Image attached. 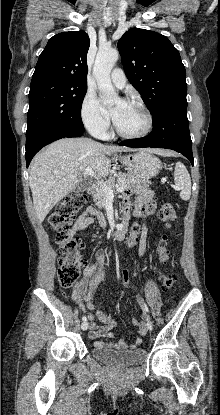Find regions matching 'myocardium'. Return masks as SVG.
<instances>
[{
  "label": "myocardium",
  "mask_w": 220,
  "mask_h": 415,
  "mask_svg": "<svg viewBox=\"0 0 220 415\" xmlns=\"http://www.w3.org/2000/svg\"><path fill=\"white\" fill-rule=\"evenodd\" d=\"M125 102L139 107L144 112L146 119H147V125L145 129L139 133H126L120 130L116 122H114L115 132L120 137H123L126 139H139V138H143L147 136L152 131L153 126H154V117H153L152 112L147 107V105L141 100L131 98V99H126Z\"/></svg>",
  "instance_id": "obj_1"
}]
</instances>
